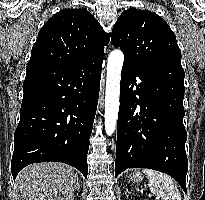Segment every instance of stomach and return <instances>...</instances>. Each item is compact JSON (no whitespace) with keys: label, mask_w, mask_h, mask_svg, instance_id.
Wrapping results in <instances>:
<instances>
[{"label":"stomach","mask_w":205,"mask_h":200,"mask_svg":"<svg viewBox=\"0 0 205 200\" xmlns=\"http://www.w3.org/2000/svg\"><path fill=\"white\" fill-rule=\"evenodd\" d=\"M130 179L134 183H139L140 181H142L143 177L141 176L139 172H136V173H133V175H131Z\"/></svg>","instance_id":"stomach-1"}]
</instances>
